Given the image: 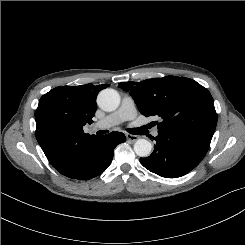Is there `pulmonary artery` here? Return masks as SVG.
<instances>
[{"label": "pulmonary artery", "instance_id": "e3ab8cb5", "mask_svg": "<svg viewBox=\"0 0 245 245\" xmlns=\"http://www.w3.org/2000/svg\"><path fill=\"white\" fill-rule=\"evenodd\" d=\"M136 117V108L132 98L126 96L123 98L121 106L118 110L99 120L96 124V128H109L118 125L126 120H131ZM154 135H158L155 131Z\"/></svg>", "mask_w": 245, "mask_h": 245}]
</instances>
